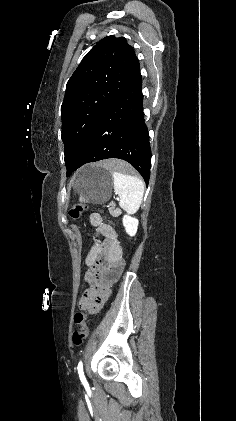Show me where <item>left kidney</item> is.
<instances>
[{"label":"left kidney","mask_w":236,"mask_h":421,"mask_svg":"<svg viewBox=\"0 0 236 421\" xmlns=\"http://www.w3.org/2000/svg\"><path fill=\"white\" fill-rule=\"evenodd\" d=\"M123 227H125V231L128 233V235H130V237H134V235L137 233L138 221L137 219H133V217L124 215Z\"/></svg>","instance_id":"5707ae66"}]
</instances>
